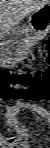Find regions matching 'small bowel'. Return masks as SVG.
I'll use <instances>...</instances> for the list:
<instances>
[{"mask_svg": "<svg viewBox=\"0 0 50 148\" xmlns=\"http://www.w3.org/2000/svg\"><path fill=\"white\" fill-rule=\"evenodd\" d=\"M23 110L35 112L45 118L48 117V112L45 109L34 104L17 103L14 106L5 107L4 112L7 124L16 130L17 138L12 140H1L2 147L29 148V145L27 144L29 137L27 131L23 127L17 125L15 121V116Z\"/></svg>", "mask_w": 50, "mask_h": 148, "instance_id": "1", "label": "small bowel"}]
</instances>
